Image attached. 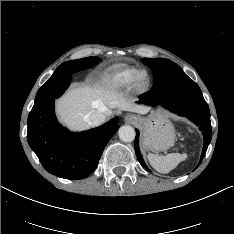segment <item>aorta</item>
Listing matches in <instances>:
<instances>
[{
	"label": "aorta",
	"instance_id": "1",
	"mask_svg": "<svg viewBox=\"0 0 234 234\" xmlns=\"http://www.w3.org/2000/svg\"><path fill=\"white\" fill-rule=\"evenodd\" d=\"M120 140L124 142H131L135 139V129L130 125L121 126L118 130Z\"/></svg>",
	"mask_w": 234,
	"mask_h": 234
}]
</instances>
